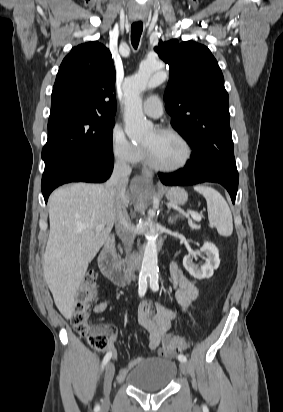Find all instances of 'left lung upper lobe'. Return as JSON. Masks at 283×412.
I'll return each mask as SVG.
<instances>
[{"mask_svg": "<svg viewBox=\"0 0 283 412\" xmlns=\"http://www.w3.org/2000/svg\"><path fill=\"white\" fill-rule=\"evenodd\" d=\"M154 50L170 68L164 100L173 128L193 150L202 147L228 160L230 180L238 184L229 96L216 59L206 46L193 41H160Z\"/></svg>", "mask_w": 283, "mask_h": 412, "instance_id": "5c2ea615", "label": "left lung upper lobe"}]
</instances>
